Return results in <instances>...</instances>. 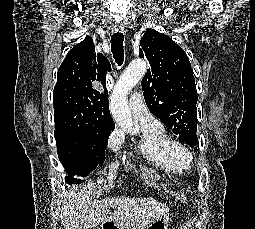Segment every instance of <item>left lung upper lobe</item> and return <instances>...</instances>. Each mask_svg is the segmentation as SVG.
<instances>
[{"label": "left lung upper lobe", "instance_id": "left-lung-upper-lobe-1", "mask_svg": "<svg viewBox=\"0 0 255 229\" xmlns=\"http://www.w3.org/2000/svg\"><path fill=\"white\" fill-rule=\"evenodd\" d=\"M140 46L139 56L150 64L141 82L147 107L188 145H198V96L186 53L169 36L153 29L145 31Z\"/></svg>", "mask_w": 255, "mask_h": 229}]
</instances>
